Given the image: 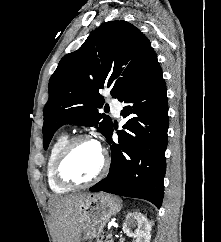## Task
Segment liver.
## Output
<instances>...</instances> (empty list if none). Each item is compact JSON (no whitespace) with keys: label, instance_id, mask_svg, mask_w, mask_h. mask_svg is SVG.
Returning <instances> with one entry per match:
<instances>
[{"label":"liver","instance_id":"obj_1","mask_svg":"<svg viewBox=\"0 0 221 242\" xmlns=\"http://www.w3.org/2000/svg\"><path fill=\"white\" fill-rule=\"evenodd\" d=\"M87 194L55 197L50 201L56 242H80L81 229L77 209Z\"/></svg>","mask_w":221,"mask_h":242}]
</instances>
